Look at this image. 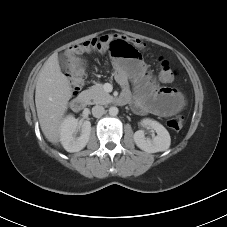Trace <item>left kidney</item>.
I'll list each match as a JSON object with an SVG mask.
<instances>
[{"mask_svg": "<svg viewBox=\"0 0 227 227\" xmlns=\"http://www.w3.org/2000/svg\"><path fill=\"white\" fill-rule=\"evenodd\" d=\"M142 124L154 129L157 133L153 139L145 137L143 130L134 133L135 144L143 151L148 153H156L167 150L171 144V138L166 128L159 122L152 119H143Z\"/></svg>", "mask_w": 227, "mask_h": 227, "instance_id": "left-kidney-1", "label": "left kidney"}]
</instances>
